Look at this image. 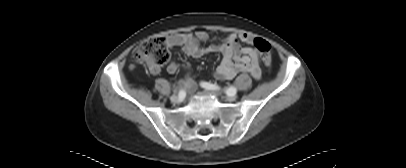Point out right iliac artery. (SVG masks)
Instances as JSON below:
<instances>
[{
  "label": "right iliac artery",
  "mask_w": 406,
  "mask_h": 168,
  "mask_svg": "<svg viewBox=\"0 0 406 168\" xmlns=\"http://www.w3.org/2000/svg\"><path fill=\"white\" fill-rule=\"evenodd\" d=\"M183 95H184V91L181 90V91L179 92V96L181 97V96H183Z\"/></svg>",
  "instance_id": "82829eb1"
}]
</instances>
